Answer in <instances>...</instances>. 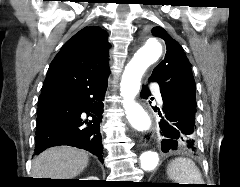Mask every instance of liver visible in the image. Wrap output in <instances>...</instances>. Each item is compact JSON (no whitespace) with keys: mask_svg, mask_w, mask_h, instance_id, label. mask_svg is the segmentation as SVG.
<instances>
[{"mask_svg":"<svg viewBox=\"0 0 240 187\" xmlns=\"http://www.w3.org/2000/svg\"><path fill=\"white\" fill-rule=\"evenodd\" d=\"M88 154L71 146L49 148L34 158L32 178L73 179L88 165Z\"/></svg>","mask_w":240,"mask_h":187,"instance_id":"liver-1","label":"liver"}]
</instances>
